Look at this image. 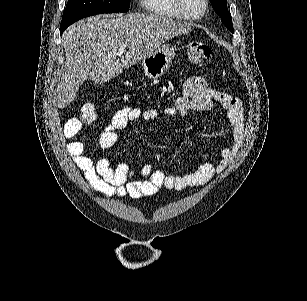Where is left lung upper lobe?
Instances as JSON below:
<instances>
[{
    "mask_svg": "<svg viewBox=\"0 0 307 301\" xmlns=\"http://www.w3.org/2000/svg\"><path fill=\"white\" fill-rule=\"evenodd\" d=\"M213 9L221 17L223 24L234 33L231 14L227 9V0H210Z\"/></svg>",
    "mask_w": 307,
    "mask_h": 301,
    "instance_id": "1",
    "label": "left lung upper lobe"
}]
</instances>
